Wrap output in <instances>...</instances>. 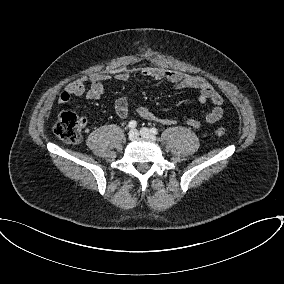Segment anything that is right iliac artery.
<instances>
[{
    "label": "right iliac artery",
    "mask_w": 284,
    "mask_h": 284,
    "mask_svg": "<svg viewBox=\"0 0 284 284\" xmlns=\"http://www.w3.org/2000/svg\"><path fill=\"white\" fill-rule=\"evenodd\" d=\"M137 126V122L135 120H132L129 122L128 127L131 129H134Z\"/></svg>",
    "instance_id": "82829eb1"
}]
</instances>
